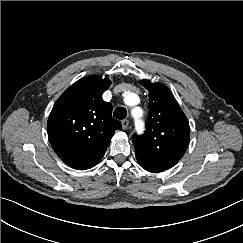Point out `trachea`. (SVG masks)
Wrapping results in <instances>:
<instances>
[{
  "instance_id": "trachea-1",
  "label": "trachea",
  "mask_w": 243,
  "mask_h": 243,
  "mask_svg": "<svg viewBox=\"0 0 243 243\" xmlns=\"http://www.w3.org/2000/svg\"><path fill=\"white\" fill-rule=\"evenodd\" d=\"M113 116L119 120L125 119L127 116V110L124 107H117L114 110Z\"/></svg>"
}]
</instances>
